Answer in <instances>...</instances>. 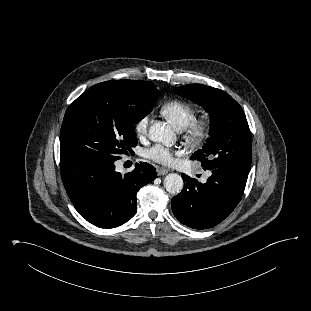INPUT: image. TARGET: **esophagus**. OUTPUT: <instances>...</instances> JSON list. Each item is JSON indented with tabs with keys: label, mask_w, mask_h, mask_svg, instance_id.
<instances>
[{
	"label": "esophagus",
	"mask_w": 311,
	"mask_h": 311,
	"mask_svg": "<svg viewBox=\"0 0 311 311\" xmlns=\"http://www.w3.org/2000/svg\"><path fill=\"white\" fill-rule=\"evenodd\" d=\"M168 172H169V170L166 169V168H157V174H158L159 176L165 175V174H167Z\"/></svg>",
	"instance_id": "obj_1"
}]
</instances>
